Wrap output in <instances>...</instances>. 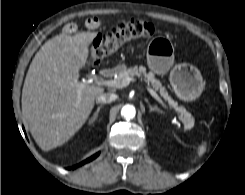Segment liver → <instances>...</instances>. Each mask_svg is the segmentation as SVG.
I'll use <instances>...</instances> for the list:
<instances>
[{
    "label": "liver",
    "instance_id": "obj_1",
    "mask_svg": "<svg viewBox=\"0 0 245 195\" xmlns=\"http://www.w3.org/2000/svg\"><path fill=\"white\" fill-rule=\"evenodd\" d=\"M96 32L57 35L34 56L22 89V113L35 142L49 151L86 122L102 87L78 82Z\"/></svg>",
    "mask_w": 245,
    "mask_h": 195
}]
</instances>
